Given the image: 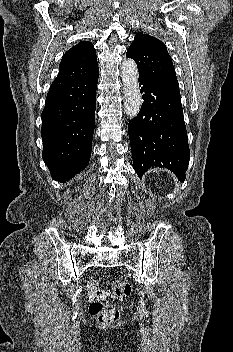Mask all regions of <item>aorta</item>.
<instances>
[{
  "instance_id": "aorta-1",
  "label": "aorta",
  "mask_w": 233,
  "mask_h": 352,
  "mask_svg": "<svg viewBox=\"0 0 233 352\" xmlns=\"http://www.w3.org/2000/svg\"><path fill=\"white\" fill-rule=\"evenodd\" d=\"M124 85V111L129 117H136L140 111L142 99L138 85V69L135 61L128 59L121 65Z\"/></svg>"
}]
</instances>
